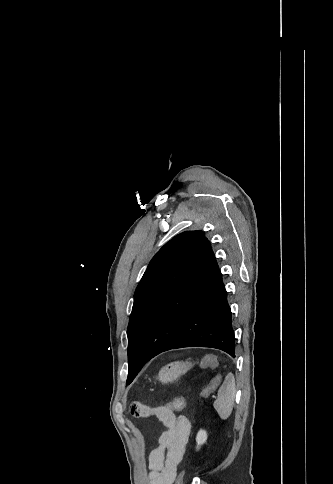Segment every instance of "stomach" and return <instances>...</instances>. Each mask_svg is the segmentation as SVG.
<instances>
[{"instance_id": "stomach-1", "label": "stomach", "mask_w": 333, "mask_h": 484, "mask_svg": "<svg viewBox=\"0 0 333 484\" xmlns=\"http://www.w3.org/2000/svg\"><path fill=\"white\" fill-rule=\"evenodd\" d=\"M192 366L191 362L176 361L169 363L159 371L158 380L162 383L174 382Z\"/></svg>"}]
</instances>
